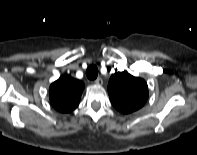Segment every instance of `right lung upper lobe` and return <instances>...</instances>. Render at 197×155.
<instances>
[{
  "label": "right lung upper lobe",
  "mask_w": 197,
  "mask_h": 155,
  "mask_svg": "<svg viewBox=\"0 0 197 155\" xmlns=\"http://www.w3.org/2000/svg\"><path fill=\"white\" fill-rule=\"evenodd\" d=\"M83 89V82L69 75L61 76L49 88L50 102L57 111L69 113L78 106Z\"/></svg>",
  "instance_id": "right-lung-upper-lobe-1"
}]
</instances>
